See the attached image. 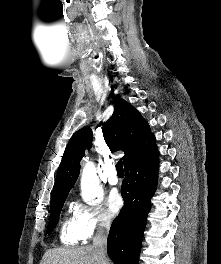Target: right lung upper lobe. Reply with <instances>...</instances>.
I'll return each instance as SVG.
<instances>
[{
    "label": "right lung upper lobe",
    "mask_w": 221,
    "mask_h": 264,
    "mask_svg": "<svg viewBox=\"0 0 221 264\" xmlns=\"http://www.w3.org/2000/svg\"><path fill=\"white\" fill-rule=\"evenodd\" d=\"M103 136L112 152L122 150L124 167L148 161L158 151L155 136L141 114L124 99L114 102V113L103 126ZM92 129L84 127L73 134L69 140L58 168L51 200L68 194L74 186L80 170L79 162L85 150L92 147Z\"/></svg>",
    "instance_id": "cb5924a9"
}]
</instances>
